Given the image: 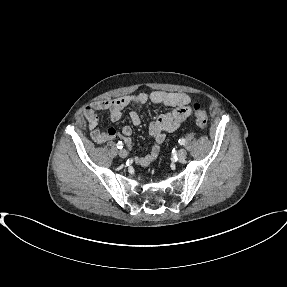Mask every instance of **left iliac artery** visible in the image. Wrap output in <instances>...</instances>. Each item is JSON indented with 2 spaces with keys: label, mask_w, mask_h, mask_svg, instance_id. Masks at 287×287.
Returning a JSON list of instances; mask_svg holds the SVG:
<instances>
[{
  "label": "left iliac artery",
  "mask_w": 287,
  "mask_h": 287,
  "mask_svg": "<svg viewBox=\"0 0 287 287\" xmlns=\"http://www.w3.org/2000/svg\"><path fill=\"white\" fill-rule=\"evenodd\" d=\"M178 142L180 143V145H184L186 141H185V139L181 138V139H179Z\"/></svg>",
  "instance_id": "44dca946"
}]
</instances>
